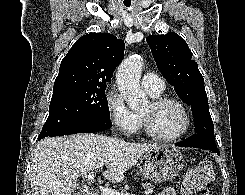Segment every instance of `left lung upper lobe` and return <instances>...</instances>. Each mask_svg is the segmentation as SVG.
Segmentation results:
<instances>
[{
  "mask_svg": "<svg viewBox=\"0 0 245 195\" xmlns=\"http://www.w3.org/2000/svg\"><path fill=\"white\" fill-rule=\"evenodd\" d=\"M146 40L161 74L178 96L191 105L195 132L215 140L204 79L185 40L174 32L150 35Z\"/></svg>",
  "mask_w": 245,
  "mask_h": 195,
  "instance_id": "1",
  "label": "left lung upper lobe"
}]
</instances>
